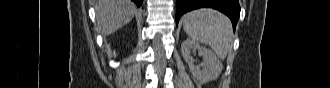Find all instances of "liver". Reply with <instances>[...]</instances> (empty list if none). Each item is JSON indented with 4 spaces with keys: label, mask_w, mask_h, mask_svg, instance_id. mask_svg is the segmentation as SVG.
Wrapping results in <instances>:
<instances>
[{
    "label": "liver",
    "mask_w": 330,
    "mask_h": 88,
    "mask_svg": "<svg viewBox=\"0 0 330 88\" xmlns=\"http://www.w3.org/2000/svg\"><path fill=\"white\" fill-rule=\"evenodd\" d=\"M96 21L103 35H111L129 23L136 13L130 0H97Z\"/></svg>",
    "instance_id": "obj_1"
}]
</instances>
